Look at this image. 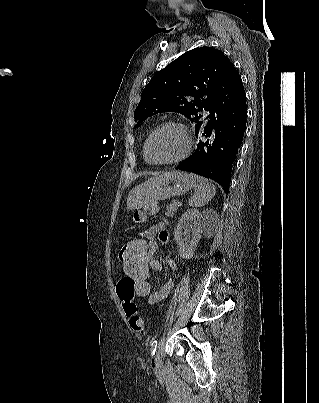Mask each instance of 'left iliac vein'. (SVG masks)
Here are the masks:
<instances>
[{"instance_id": "1", "label": "left iliac vein", "mask_w": 319, "mask_h": 403, "mask_svg": "<svg viewBox=\"0 0 319 403\" xmlns=\"http://www.w3.org/2000/svg\"><path fill=\"white\" fill-rule=\"evenodd\" d=\"M154 364H155L156 370L161 369V357H160V352L159 351H157L155 356H154Z\"/></svg>"}]
</instances>
